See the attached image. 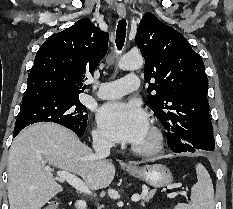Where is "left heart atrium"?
<instances>
[{
  "label": "left heart atrium",
  "mask_w": 233,
  "mask_h": 209,
  "mask_svg": "<svg viewBox=\"0 0 233 209\" xmlns=\"http://www.w3.org/2000/svg\"><path fill=\"white\" fill-rule=\"evenodd\" d=\"M97 122L102 132L117 142L136 143L148 128L145 111L134 101H111L102 105Z\"/></svg>",
  "instance_id": "obj_1"
}]
</instances>
